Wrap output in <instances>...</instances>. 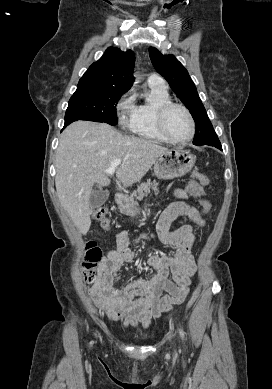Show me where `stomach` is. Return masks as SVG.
Here are the masks:
<instances>
[{
  "instance_id": "stomach-1",
  "label": "stomach",
  "mask_w": 272,
  "mask_h": 389,
  "mask_svg": "<svg viewBox=\"0 0 272 389\" xmlns=\"http://www.w3.org/2000/svg\"><path fill=\"white\" fill-rule=\"evenodd\" d=\"M195 161L196 157L190 151L171 149L158 157L154 164V173L160 179L182 177L191 171ZM117 203L120 210L129 216H135L139 213L136 204L125 196L119 198Z\"/></svg>"
}]
</instances>
